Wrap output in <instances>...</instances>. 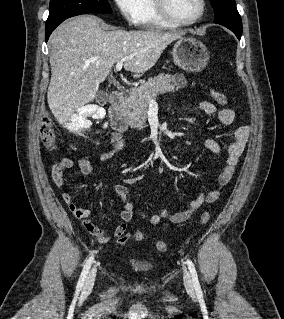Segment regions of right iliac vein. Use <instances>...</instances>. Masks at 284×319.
<instances>
[{
    "label": "right iliac vein",
    "instance_id": "right-iliac-vein-1",
    "mask_svg": "<svg viewBox=\"0 0 284 319\" xmlns=\"http://www.w3.org/2000/svg\"><path fill=\"white\" fill-rule=\"evenodd\" d=\"M96 274H97V269H96V266H94L91 269V271L86 279L85 286H84L85 293H89L92 290V288L94 286Z\"/></svg>",
    "mask_w": 284,
    "mask_h": 319
}]
</instances>
